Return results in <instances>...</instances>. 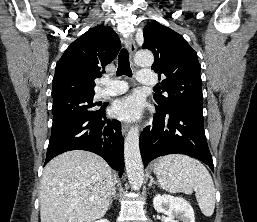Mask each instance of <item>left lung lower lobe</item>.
I'll list each match as a JSON object with an SVG mask.
<instances>
[{
  "label": "left lung lower lobe",
  "instance_id": "left-lung-lower-lobe-1",
  "mask_svg": "<svg viewBox=\"0 0 257 222\" xmlns=\"http://www.w3.org/2000/svg\"><path fill=\"white\" fill-rule=\"evenodd\" d=\"M153 122L140 136V152L144 167L163 155L193 156L213 170V161L204 132L203 113L185 109L167 112L156 108Z\"/></svg>",
  "mask_w": 257,
  "mask_h": 222
}]
</instances>
